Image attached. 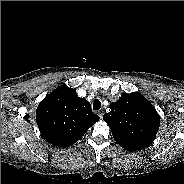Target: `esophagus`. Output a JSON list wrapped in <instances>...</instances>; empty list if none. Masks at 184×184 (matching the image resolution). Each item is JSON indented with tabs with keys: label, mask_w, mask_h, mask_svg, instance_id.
Wrapping results in <instances>:
<instances>
[{
	"label": "esophagus",
	"mask_w": 184,
	"mask_h": 184,
	"mask_svg": "<svg viewBox=\"0 0 184 184\" xmlns=\"http://www.w3.org/2000/svg\"><path fill=\"white\" fill-rule=\"evenodd\" d=\"M103 114H104V111H103V110H99V111H98V115H99L100 118L103 117Z\"/></svg>",
	"instance_id": "1"
}]
</instances>
